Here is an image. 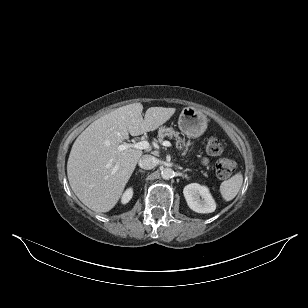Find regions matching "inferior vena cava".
<instances>
[{
  "label": "inferior vena cava",
  "mask_w": 308,
  "mask_h": 308,
  "mask_svg": "<svg viewBox=\"0 0 308 308\" xmlns=\"http://www.w3.org/2000/svg\"><path fill=\"white\" fill-rule=\"evenodd\" d=\"M140 168L145 170L153 169L157 164V159L152 155H143L138 162Z\"/></svg>",
  "instance_id": "obj_1"
}]
</instances>
